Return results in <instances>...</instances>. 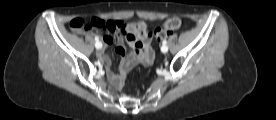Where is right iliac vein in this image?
<instances>
[{
  "mask_svg": "<svg viewBox=\"0 0 276 120\" xmlns=\"http://www.w3.org/2000/svg\"><path fill=\"white\" fill-rule=\"evenodd\" d=\"M96 44H101V42H96ZM96 44H95V45H96ZM95 47H96V46H95ZM96 49H97V50H100V48H97V47H96Z\"/></svg>",
  "mask_w": 276,
  "mask_h": 120,
  "instance_id": "1",
  "label": "right iliac vein"
}]
</instances>
